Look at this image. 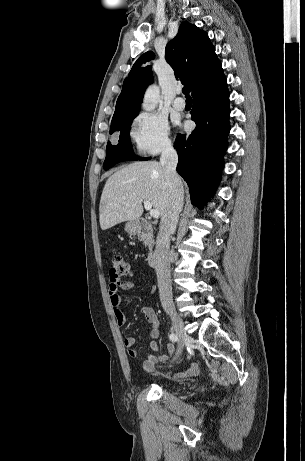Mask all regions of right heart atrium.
Listing matches in <instances>:
<instances>
[{
  "mask_svg": "<svg viewBox=\"0 0 305 461\" xmlns=\"http://www.w3.org/2000/svg\"><path fill=\"white\" fill-rule=\"evenodd\" d=\"M131 137L142 155H156L172 147L168 121L151 112L141 113L134 119Z\"/></svg>",
  "mask_w": 305,
  "mask_h": 461,
  "instance_id": "right-heart-atrium-1",
  "label": "right heart atrium"
}]
</instances>
